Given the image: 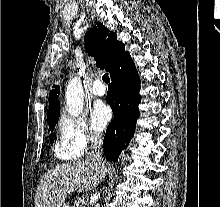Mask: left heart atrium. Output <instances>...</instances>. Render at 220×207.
<instances>
[{
  "mask_svg": "<svg viewBox=\"0 0 220 207\" xmlns=\"http://www.w3.org/2000/svg\"><path fill=\"white\" fill-rule=\"evenodd\" d=\"M111 119L110 109L103 104L94 106L91 112L92 127L97 131H103Z\"/></svg>",
  "mask_w": 220,
  "mask_h": 207,
  "instance_id": "1",
  "label": "left heart atrium"
}]
</instances>
